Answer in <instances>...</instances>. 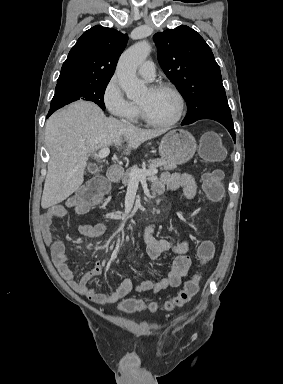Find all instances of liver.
<instances>
[{
    "instance_id": "obj_1",
    "label": "liver",
    "mask_w": 283,
    "mask_h": 384,
    "mask_svg": "<svg viewBox=\"0 0 283 384\" xmlns=\"http://www.w3.org/2000/svg\"><path fill=\"white\" fill-rule=\"evenodd\" d=\"M166 130H141L106 118L93 102H73L58 110L46 122L45 142L50 160L42 194V208H51L69 198L83 184L87 158L91 152L122 146L123 154L137 150L146 140L165 134Z\"/></svg>"
}]
</instances>
